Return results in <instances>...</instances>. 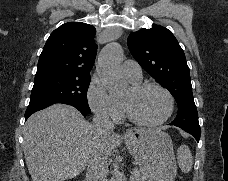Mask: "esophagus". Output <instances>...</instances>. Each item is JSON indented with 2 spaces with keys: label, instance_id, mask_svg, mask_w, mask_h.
<instances>
[{
  "label": "esophagus",
  "instance_id": "1",
  "mask_svg": "<svg viewBox=\"0 0 228 181\" xmlns=\"http://www.w3.org/2000/svg\"><path fill=\"white\" fill-rule=\"evenodd\" d=\"M124 135H125V136H127V135H128V133H124Z\"/></svg>",
  "mask_w": 228,
  "mask_h": 181
}]
</instances>
